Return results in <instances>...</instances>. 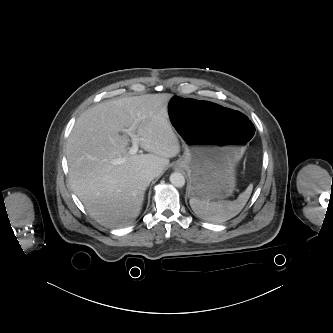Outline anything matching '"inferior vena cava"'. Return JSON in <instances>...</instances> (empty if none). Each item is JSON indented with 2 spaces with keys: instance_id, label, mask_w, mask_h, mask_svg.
<instances>
[{
  "instance_id": "1",
  "label": "inferior vena cava",
  "mask_w": 333,
  "mask_h": 333,
  "mask_svg": "<svg viewBox=\"0 0 333 333\" xmlns=\"http://www.w3.org/2000/svg\"><path fill=\"white\" fill-rule=\"evenodd\" d=\"M157 175H158V171L151 169V168L142 169L138 173L140 180H142L144 182L152 181Z\"/></svg>"
}]
</instances>
